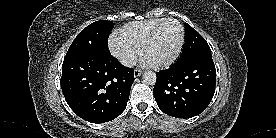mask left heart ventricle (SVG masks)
<instances>
[{
	"instance_id": "b2bd125f",
	"label": "left heart ventricle",
	"mask_w": 276,
	"mask_h": 138,
	"mask_svg": "<svg viewBox=\"0 0 276 138\" xmlns=\"http://www.w3.org/2000/svg\"><path fill=\"white\" fill-rule=\"evenodd\" d=\"M181 38L178 25L174 22L164 23L158 30L145 57L153 64L169 60L176 52Z\"/></svg>"
}]
</instances>
